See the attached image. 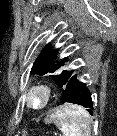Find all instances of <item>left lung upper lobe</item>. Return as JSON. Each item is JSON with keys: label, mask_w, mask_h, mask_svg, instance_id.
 <instances>
[{"label": "left lung upper lobe", "mask_w": 117, "mask_h": 136, "mask_svg": "<svg viewBox=\"0 0 117 136\" xmlns=\"http://www.w3.org/2000/svg\"><path fill=\"white\" fill-rule=\"evenodd\" d=\"M58 51V49L51 50L50 44H47L34 62L31 74L45 75L60 71L59 74L50 75V77L53 78L58 87L63 89L71 75L74 73V70H62L63 67L66 66L68 57L57 60Z\"/></svg>", "instance_id": "5c2ea615"}]
</instances>
